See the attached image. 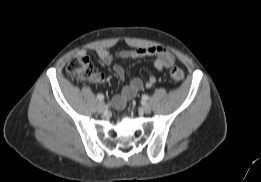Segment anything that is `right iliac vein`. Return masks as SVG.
<instances>
[{
    "label": "right iliac vein",
    "mask_w": 261,
    "mask_h": 182,
    "mask_svg": "<svg viewBox=\"0 0 261 182\" xmlns=\"http://www.w3.org/2000/svg\"><path fill=\"white\" fill-rule=\"evenodd\" d=\"M105 109H106V106H105L104 102H99L97 104V111L98 112L102 113V112L105 111Z\"/></svg>",
    "instance_id": "right-iliac-vein-1"
}]
</instances>
